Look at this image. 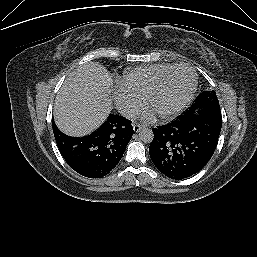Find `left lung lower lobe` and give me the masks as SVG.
I'll list each match as a JSON object with an SVG mask.
<instances>
[{"label":"left lung lower lobe","instance_id":"left-lung-lower-lobe-1","mask_svg":"<svg viewBox=\"0 0 257 257\" xmlns=\"http://www.w3.org/2000/svg\"><path fill=\"white\" fill-rule=\"evenodd\" d=\"M222 126L220 108H189L172 122L153 128L149 154L165 176L179 180L198 173L211 159Z\"/></svg>","mask_w":257,"mask_h":257}]
</instances>
